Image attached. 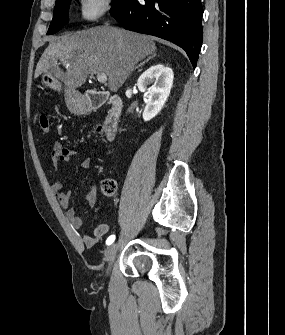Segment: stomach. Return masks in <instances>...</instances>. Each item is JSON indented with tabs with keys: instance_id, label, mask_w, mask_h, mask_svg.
<instances>
[{
	"instance_id": "0dacf381",
	"label": "stomach",
	"mask_w": 285,
	"mask_h": 335,
	"mask_svg": "<svg viewBox=\"0 0 285 335\" xmlns=\"http://www.w3.org/2000/svg\"><path fill=\"white\" fill-rule=\"evenodd\" d=\"M42 82L47 86V88H51V90H56V92H60L62 90V84L53 76V74H49V72H42ZM65 96L67 102H70L71 106H73V110H78V112H83L85 110V100L82 94L79 92H75V90H65Z\"/></svg>"
}]
</instances>
